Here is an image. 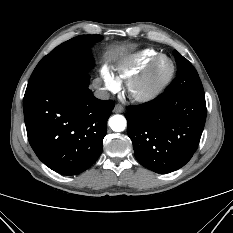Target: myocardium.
<instances>
[{"instance_id":"1","label":"myocardium","mask_w":233,"mask_h":233,"mask_svg":"<svg viewBox=\"0 0 233 233\" xmlns=\"http://www.w3.org/2000/svg\"><path fill=\"white\" fill-rule=\"evenodd\" d=\"M163 59L170 63L168 74L158 81H152L153 73ZM175 74V64L167 55H158L146 68V70L133 77L128 83V93L137 102H148L156 98L171 82Z\"/></svg>"}]
</instances>
